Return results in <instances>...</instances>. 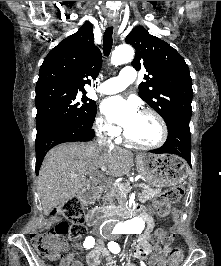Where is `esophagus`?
I'll return each instance as SVG.
<instances>
[{
	"label": "esophagus",
	"instance_id": "obj_1",
	"mask_svg": "<svg viewBox=\"0 0 221 266\" xmlns=\"http://www.w3.org/2000/svg\"><path fill=\"white\" fill-rule=\"evenodd\" d=\"M110 25L114 27L115 31H117L118 25L115 19L110 20Z\"/></svg>",
	"mask_w": 221,
	"mask_h": 266
}]
</instances>
